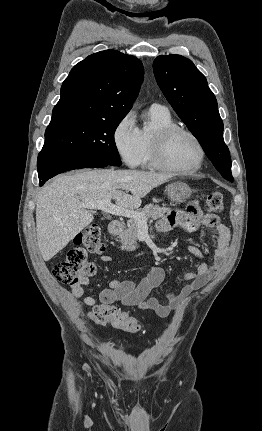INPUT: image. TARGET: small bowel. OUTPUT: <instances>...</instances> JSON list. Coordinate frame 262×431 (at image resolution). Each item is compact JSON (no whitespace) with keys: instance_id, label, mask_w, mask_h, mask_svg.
Returning a JSON list of instances; mask_svg holds the SVG:
<instances>
[{"instance_id":"1","label":"small bowel","mask_w":262,"mask_h":431,"mask_svg":"<svg viewBox=\"0 0 262 431\" xmlns=\"http://www.w3.org/2000/svg\"><path fill=\"white\" fill-rule=\"evenodd\" d=\"M189 205H196L191 202ZM180 225L188 231H195L204 226L214 230L212 242L215 247V254L212 261L202 259L200 251L196 247H189L188 251L197 258L202 259L195 272L188 273L185 278L187 284L177 291H169L165 295V302H160L151 296V293L162 283L165 272L160 267H151L146 276L138 281L114 279L109 283V288L98 294V303L91 296H84V289L77 287L72 289V295L76 298H83L84 305L92 307L91 315H107L110 310H116L115 303H120L126 307H136L141 310H153L159 317L166 318L171 311L178 309L184 301L194 292L202 288L214 275L225 265L229 253V229L220 222L218 216L205 213L196 209L195 214L186 215L180 211H171L170 214L161 220L158 229L161 232L171 230L174 226ZM103 260L110 261L105 256ZM108 323V322H105Z\"/></svg>"}]
</instances>
